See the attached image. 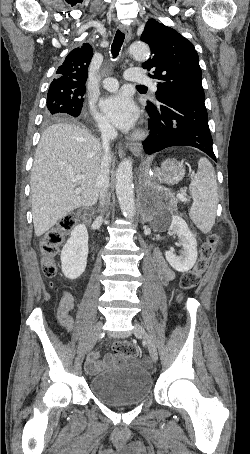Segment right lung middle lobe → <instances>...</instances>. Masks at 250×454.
<instances>
[{
	"instance_id": "1",
	"label": "right lung middle lobe",
	"mask_w": 250,
	"mask_h": 454,
	"mask_svg": "<svg viewBox=\"0 0 250 454\" xmlns=\"http://www.w3.org/2000/svg\"><path fill=\"white\" fill-rule=\"evenodd\" d=\"M84 93L85 89L74 92L49 89L44 114L45 120L49 122L63 116L78 117L83 106Z\"/></svg>"
}]
</instances>
